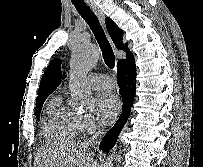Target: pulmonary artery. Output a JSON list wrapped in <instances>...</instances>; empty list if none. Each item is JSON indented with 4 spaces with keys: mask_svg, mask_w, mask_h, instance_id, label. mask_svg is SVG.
<instances>
[{
    "mask_svg": "<svg viewBox=\"0 0 203 167\" xmlns=\"http://www.w3.org/2000/svg\"><path fill=\"white\" fill-rule=\"evenodd\" d=\"M88 82L96 90H110L114 87L112 79L108 75L103 74H91L88 77Z\"/></svg>",
    "mask_w": 203,
    "mask_h": 167,
    "instance_id": "obj_1",
    "label": "pulmonary artery"
}]
</instances>
